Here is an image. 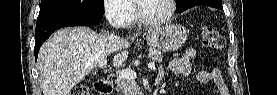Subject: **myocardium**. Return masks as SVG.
<instances>
[{
    "label": "myocardium",
    "mask_w": 277,
    "mask_h": 95,
    "mask_svg": "<svg viewBox=\"0 0 277 95\" xmlns=\"http://www.w3.org/2000/svg\"><path fill=\"white\" fill-rule=\"evenodd\" d=\"M144 0H133V8L134 14L138 22L146 26H159L168 23L174 15L176 9V1L175 0H167L169 4V12L168 15L161 19H148L144 17L140 12V4Z\"/></svg>",
    "instance_id": "obj_1"
}]
</instances>
